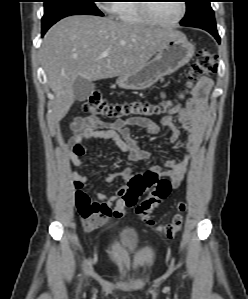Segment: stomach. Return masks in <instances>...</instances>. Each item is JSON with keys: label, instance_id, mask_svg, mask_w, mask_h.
Returning <instances> with one entry per match:
<instances>
[{"label": "stomach", "instance_id": "obj_1", "mask_svg": "<svg viewBox=\"0 0 248 299\" xmlns=\"http://www.w3.org/2000/svg\"><path fill=\"white\" fill-rule=\"evenodd\" d=\"M195 48L185 35L171 38L160 49L156 57L136 72L121 75L117 84L124 89L149 88L162 77L174 73L193 57Z\"/></svg>", "mask_w": 248, "mask_h": 299}]
</instances>
